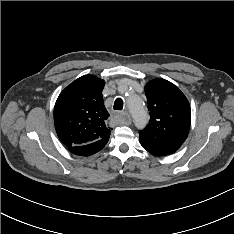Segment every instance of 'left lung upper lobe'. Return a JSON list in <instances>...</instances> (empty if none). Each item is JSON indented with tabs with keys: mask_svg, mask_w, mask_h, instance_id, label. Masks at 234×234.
Returning <instances> with one entry per match:
<instances>
[{
	"mask_svg": "<svg viewBox=\"0 0 234 234\" xmlns=\"http://www.w3.org/2000/svg\"><path fill=\"white\" fill-rule=\"evenodd\" d=\"M145 94L150 123L140 136L167 139L182 145L191 122L190 105L185 95L177 86L161 78L148 82Z\"/></svg>",
	"mask_w": 234,
	"mask_h": 234,
	"instance_id": "obj_1",
	"label": "left lung upper lobe"
}]
</instances>
